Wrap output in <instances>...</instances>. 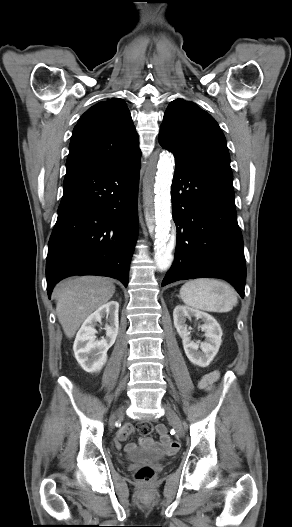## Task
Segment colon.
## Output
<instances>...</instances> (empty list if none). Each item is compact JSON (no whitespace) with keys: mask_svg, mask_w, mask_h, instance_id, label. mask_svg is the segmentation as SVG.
I'll use <instances>...</instances> for the list:
<instances>
[{"mask_svg":"<svg viewBox=\"0 0 292 527\" xmlns=\"http://www.w3.org/2000/svg\"><path fill=\"white\" fill-rule=\"evenodd\" d=\"M138 431L142 435L149 434L152 431V424L142 422L138 425ZM135 477L141 482L148 483L154 478V470L149 466H143L136 471Z\"/></svg>","mask_w":292,"mask_h":527,"instance_id":"colon-1","label":"colon"}]
</instances>
